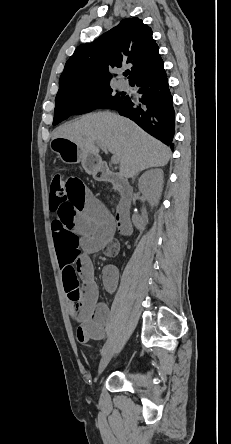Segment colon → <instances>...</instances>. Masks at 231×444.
<instances>
[{
    "instance_id": "1",
    "label": "colon",
    "mask_w": 231,
    "mask_h": 444,
    "mask_svg": "<svg viewBox=\"0 0 231 444\" xmlns=\"http://www.w3.org/2000/svg\"><path fill=\"white\" fill-rule=\"evenodd\" d=\"M67 180L64 176L62 168H57L52 174L51 180V197L56 200H61L67 195Z\"/></svg>"
}]
</instances>
